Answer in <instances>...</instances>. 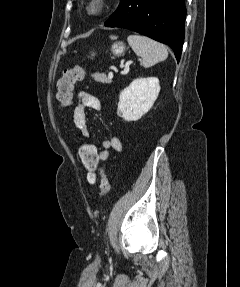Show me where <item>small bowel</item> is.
<instances>
[{"instance_id": "small-bowel-1", "label": "small bowel", "mask_w": 240, "mask_h": 287, "mask_svg": "<svg viewBox=\"0 0 240 287\" xmlns=\"http://www.w3.org/2000/svg\"><path fill=\"white\" fill-rule=\"evenodd\" d=\"M87 109L99 111L101 109V103L93 94L82 91L79 93V104L73 112V124L83 138H88L90 135L87 124ZM97 150L99 160L107 161L109 159L110 150L120 152L122 150V143L117 137H106L101 143V148Z\"/></svg>"}]
</instances>
